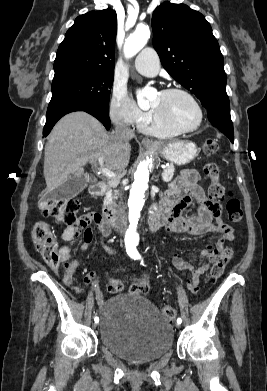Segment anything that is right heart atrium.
Returning a JSON list of instances; mask_svg holds the SVG:
<instances>
[{
    "mask_svg": "<svg viewBox=\"0 0 267 391\" xmlns=\"http://www.w3.org/2000/svg\"><path fill=\"white\" fill-rule=\"evenodd\" d=\"M109 116L115 124L140 128L151 113L139 108L125 92L115 88L109 103Z\"/></svg>",
    "mask_w": 267,
    "mask_h": 391,
    "instance_id": "right-heart-atrium-1",
    "label": "right heart atrium"
}]
</instances>
